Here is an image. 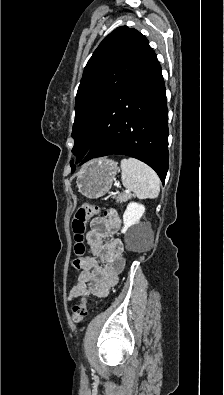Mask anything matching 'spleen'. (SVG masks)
Returning <instances> with one entry per match:
<instances>
[{
	"label": "spleen",
	"instance_id": "spleen-1",
	"mask_svg": "<svg viewBox=\"0 0 224 395\" xmlns=\"http://www.w3.org/2000/svg\"><path fill=\"white\" fill-rule=\"evenodd\" d=\"M123 186L134 192L139 199H154L160 192V179L145 163L134 159L121 160Z\"/></svg>",
	"mask_w": 224,
	"mask_h": 395
}]
</instances>
